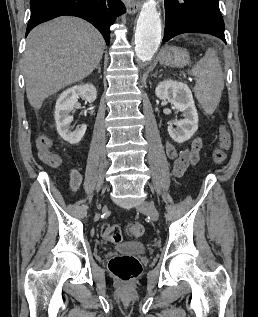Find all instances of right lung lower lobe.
Returning <instances> with one entry per match:
<instances>
[{
  "mask_svg": "<svg viewBox=\"0 0 258 317\" xmlns=\"http://www.w3.org/2000/svg\"><path fill=\"white\" fill-rule=\"evenodd\" d=\"M31 17L26 35L38 24L62 15L83 18L93 24L110 42L109 27L125 10L120 0H30Z\"/></svg>",
  "mask_w": 258,
  "mask_h": 317,
  "instance_id": "98d812e1",
  "label": "right lung lower lobe"
}]
</instances>
